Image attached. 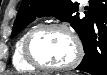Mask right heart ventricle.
<instances>
[{
  "label": "right heart ventricle",
  "instance_id": "right-heart-ventricle-1",
  "mask_svg": "<svg viewBox=\"0 0 107 75\" xmlns=\"http://www.w3.org/2000/svg\"><path fill=\"white\" fill-rule=\"evenodd\" d=\"M35 27H31L27 29L17 40L13 53V65L16 70L21 72H32L35 71L36 68L30 65L24 58L23 55V44L28 33Z\"/></svg>",
  "mask_w": 107,
  "mask_h": 75
}]
</instances>
